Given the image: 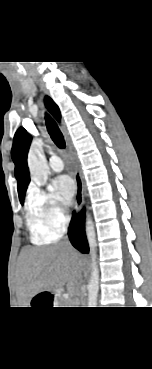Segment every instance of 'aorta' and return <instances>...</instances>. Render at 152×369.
Masks as SVG:
<instances>
[{"instance_id":"aorta-1","label":"aorta","mask_w":152,"mask_h":369,"mask_svg":"<svg viewBox=\"0 0 152 369\" xmlns=\"http://www.w3.org/2000/svg\"><path fill=\"white\" fill-rule=\"evenodd\" d=\"M28 167L31 177L37 183V185L43 186L47 183L49 168L45 159L43 141L41 139L33 140L31 144L28 154ZM85 231L90 248L92 269L91 277L87 286L88 307H96L99 291V269L96 261V232L93 220L89 214L86 215Z\"/></svg>"}]
</instances>
